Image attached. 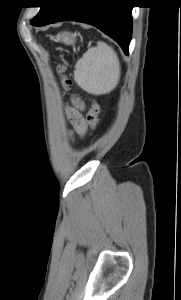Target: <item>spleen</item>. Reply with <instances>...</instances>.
Returning a JSON list of instances; mask_svg holds the SVG:
<instances>
[{"mask_svg": "<svg viewBox=\"0 0 181 300\" xmlns=\"http://www.w3.org/2000/svg\"><path fill=\"white\" fill-rule=\"evenodd\" d=\"M120 79L117 54L108 44L100 41L90 48L75 65L74 80L87 93H110Z\"/></svg>", "mask_w": 181, "mask_h": 300, "instance_id": "spleen-1", "label": "spleen"}]
</instances>
